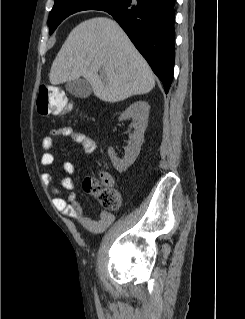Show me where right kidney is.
<instances>
[{"label": "right kidney", "instance_id": "right-kidney-1", "mask_svg": "<svg viewBox=\"0 0 245 319\" xmlns=\"http://www.w3.org/2000/svg\"><path fill=\"white\" fill-rule=\"evenodd\" d=\"M150 106L146 101H136L130 105L119 117V121L132 118L135 121L134 133L129 137L128 146L123 159L115 155L112 147L108 148L109 157L117 171L124 172L138 157L144 142V132L147 128Z\"/></svg>", "mask_w": 245, "mask_h": 319}]
</instances>
